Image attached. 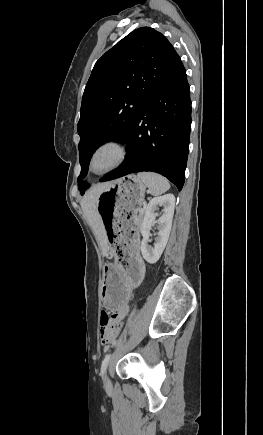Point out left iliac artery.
I'll return each instance as SVG.
<instances>
[{
	"label": "left iliac artery",
	"instance_id": "1",
	"mask_svg": "<svg viewBox=\"0 0 263 435\" xmlns=\"http://www.w3.org/2000/svg\"><path fill=\"white\" fill-rule=\"evenodd\" d=\"M110 357H111V354H107V355L105 356L103 362H102V365H101V373H100L102 377H104V375H105V372H106V369H107V366H108V363H109Z\"/></svg>",
	"mask_w": 263,
	"mask_h": 435
}]
</instances>
